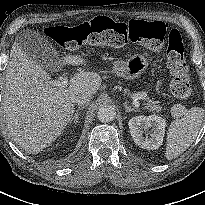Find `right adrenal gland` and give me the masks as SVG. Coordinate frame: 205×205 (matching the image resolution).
<instances>
[{
	"label": "right adrenal gland",
	"mask_w": 205,
	"mask_h": 205,
	"mask_svg": "<svg viewBox=\"0 0 205 205\" xmlns=\"http://www.w3.org/2000/svg\"><path fill=\"white\" fill-rule=\"evenodd\" d=\"M83 108H84V107L81 106V107H79V108L76 110L74 116L71 118V122H70V123H72V121H73V123H78V120H79V111L83 110Z\"/></svg>",
	"instance_id": "2a0ac1e0"
}]
</instances>
